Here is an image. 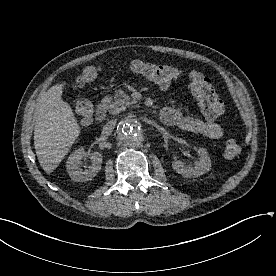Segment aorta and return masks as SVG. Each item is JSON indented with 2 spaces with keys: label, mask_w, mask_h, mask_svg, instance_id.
<instances>
[{
  "label": "aorta",
  "mask_w": 276,
  "mask_h": 276,
  "mask_svg": "<svg viewBox=\"0 0 276 276\" xmlns=\"http://www.w3.org/2000/svg\"><path fill=\"white\" fill-rule=\"evenodd\" d=\"M118 136L126 146H138L143 139L140 122L136 118L123 120L118 127Z\"/></svg>",
  "instance_id": "1"
}]
</instances>
